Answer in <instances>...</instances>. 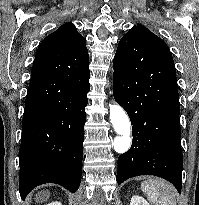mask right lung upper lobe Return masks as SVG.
<instances>
[{
  "label": "right lung upper lobe",
  "mask_w": 199,
  "mask_h": 205,
  "mask_svg": "<svg viewBox=\"0 0 199 205\" xmlns=\"http://www.w3.org/2000/svg\"><path fill=\"white\" fill-rule=\"evenodd\" d=\"M89 74L85 39L72 23H66L48 35L36 51L30 82H45L50 89L25 101V108L41 98L63 92L69 78H83Z\"/></svg>",
  "instance_id": "cb5924a9"
}]
</instances>
